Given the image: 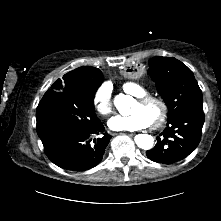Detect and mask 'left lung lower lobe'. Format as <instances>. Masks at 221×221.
<instances>
[{"mask_svg": "<svg viewBox=\"0 0 221 221\" xmlns=\"http://www.w3.org/2000/svg\"><path fill=\"white\" fill-rule=\"evenodd\" d=\"M204 120L203 108H197L168 121L165 130L156 138V146L146 151L147 157L154 162L163 164H172L183 160L198 146ZM173 142L176 146L174 155L165 159L163 149Z\"/></svg>", "mask_w": 221, "mask_h": 221, "instance_id": "1", "label": "left lung lower lobe"}]
</instances>
